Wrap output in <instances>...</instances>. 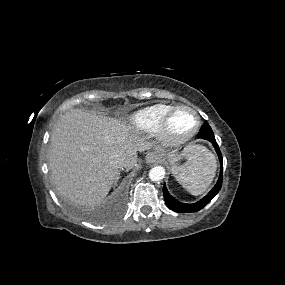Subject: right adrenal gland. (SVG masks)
I'll return each mask as SVG.
<instances>
[{"label": "right adrenal gland", "mask_w": 285, "mask_h": 285, "mask_svg": "<svg viewBox=\"0 0 285 285\" xmlns=\"http://www.w3.org/2000/svg\"><path fill=\"white\" fill-rule=\"evenodd\" d=\"M119 179H120V173H118V177H117V180L115 182V185H116V183L118 182Z\"/></svg>", "instance_id": "2a0ac1e0"}]
</instances>
